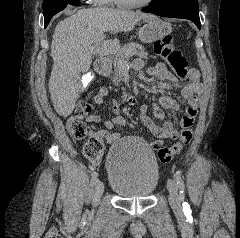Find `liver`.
Masks as SVG:
<instances>
[{
    "label": "liver",
    "mask_w": 240,
    "mask_h": 238,
    "mask_svg": "<svg viewBox=\"0 0 240 238\" xmlns=\"http://www.w3.org/2000/svg\"><path fill=\"white\" fill-rule=\"evenodd\" d=\"M155 18L138 11L93 8L81 9L60 21L51 45L54 64L48 83L55 111L63 117L73 112L82 88L81 73L87 72L92 63L91 47L115 52L120 49L118 39H106L107 32H129L141 20Z\"/></svg>",
    "instance_id": "obj_1"
}]
</instances>
